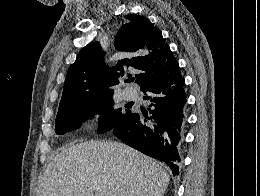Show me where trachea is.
Instances as JSON below:
<instances>
[{"label":"trachea","mask_w":260,"mask_h":196,"mask_svg":"<svg viewBox=\"0 0 260 196\" xmlns=\"http://www.w3.org/2000/svg\"><path fill=\"white\" fill-rule=\"evenodd\" d=\"M126 81H128V82L134 81V77L133 76H129Z\"/></svg>","instance_id":"3493384b"}]
</instances>
